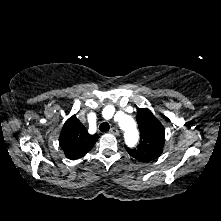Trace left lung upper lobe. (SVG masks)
Segmentation results:
<instances>
[{
    "label": "left lung upper lobe",
    "instance_id": "obj_1",
    "mask_svg": "<svg viewBox=\"0 0 221 221\" xmlns=\"http://www.w3.org/2000/svg\"><path fill=\"white\" fill-rule=\"evenodd\" d=\"M137 122L140 130V144L135 149L125 147L127 152L142 162H148L158 158L165 141V130L159 120L147 108H139Z\"/></svg>",
    "mask_w": 221,
    "mask_h": 221
}]
</instances>
